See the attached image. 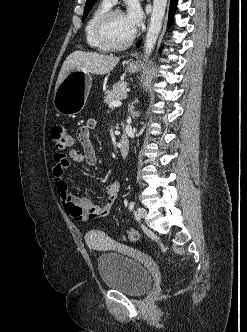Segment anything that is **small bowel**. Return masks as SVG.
I'll use <instances>...</instances> for the list:
<instances>
[{
    "label": "small bowel",
    "mask_w": 247,
    "mask_h": 332,
    "mask_svg": "<svg viewBox=\"0 0 247 332\" xmlns=\"http://www.w3.org/2000/svg\"><path fill=\"white\" fill-rule=\"evenodd\" d=\"M98 125L96 119H88L77 131V138L81 145V150L71 149L68 155L55 154L53 179L60 201L66 213L74 220L80 222H89L104 217L112 209L119 194V183L113 182L106 188V200L96 205L88 197L72 195L69 192L67 182L65 181V170L70 161L83 163L88 166H94L97 163V157L90 141V132Z\"/></svg>",
    "instance_id": "obj_1"
}]
</instances>
